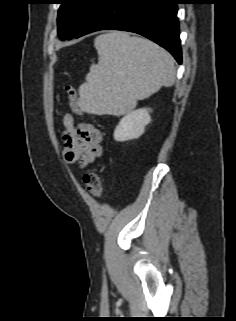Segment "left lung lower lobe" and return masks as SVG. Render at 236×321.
I'll list each match as a JSON object with an SVG mask.
<instances>
[{
    "label": "left lung lower lobe",
    "instance_id": "left-lung-lower-lobe-1",
    "mask_svg": "<svg viewBox=\"0 0 236 321\" xmlns=\"http://www.w3.org/2000/svg\"><path fill=\"white\" fill-rule=\"evenodd\" d=\"M177 4L180 0H102L79 33L116 29L140 34L182 61Z\"/></svg>",
    "mask_w": 236,
    "mask_h": 321
}]
</instances>
